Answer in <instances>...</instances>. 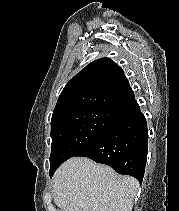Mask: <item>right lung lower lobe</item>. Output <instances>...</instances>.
<instances>
[{
	"label": "right lung lower lobe",
	"instance_id": "obj_1",
	"mask_svg": "<svg viewBox=\"0 0 179 211\" xmlns=\"http://www.w3.org/2000/svg\"><path fill=\"white\" fill-rule=\"evenodd\" d=\"M147 151V123L134 98L119 111L110 128L76 156L88 157L97 163L106 164L119 174L135 177L141 184ZM57 168L50 171V176Z\"/></svg>",
	"mask_w": 179,
	"mask_h": 211
}]
</instances>
